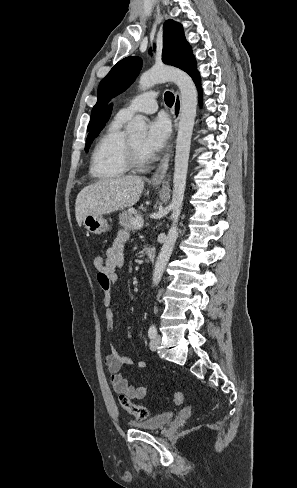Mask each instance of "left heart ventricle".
I'll use <instances>...</instances> for the list:
<instances>
[{"mask_svg": "<svg viewBox=\"0 0 297 488\" xmlns=\"http://www.w3.org/2000/svg\"><path fill=\"white\" fill-rule=\"evenodd\" d=\"M130 140L134 144V146L137 148L140 157L146 158L147 156L142 151V142L144 140V136H137V137L131 138Z\"/></svg>", "mask_w": 297, "mask_h": 488, "instance_id": "obj_1", "label": "left heart ventricle"}]
</instances>
